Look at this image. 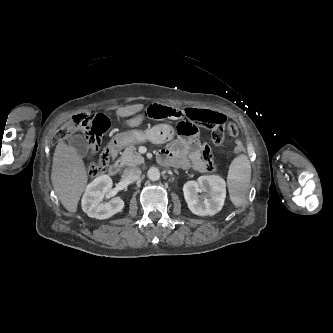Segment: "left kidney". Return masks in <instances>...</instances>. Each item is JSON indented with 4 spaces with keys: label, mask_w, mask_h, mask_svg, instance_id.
Instances as JSON below:
<instances>
[{
    "label": "left kidney",
    "mask_w": 333,
    "mask_h": 333,
    "mask_svg": "<svg viewBox=\"0 0 333 333\" xmlns=\"http://www.w3.org/2000/svg\"><path fill=\"white\" fill-rule=\"evenodd\" d=\"M188 208L200 216L214 215L219 212L226 197V183L218 175L200 176L197 181H188L183 186ZM198 193H203L199 195Z\"/></svg>",
    "instance_id": "5707ae66"
}]
</instances>
